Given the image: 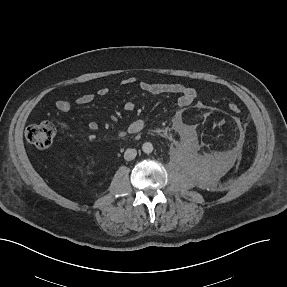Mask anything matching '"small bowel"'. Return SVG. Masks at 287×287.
Instances as JSON below:
<instances>
[{"label":"small bowel","mask_w":287,"mask_h":287,"mask_svg":"<svg viewBox=\"0 0 287 287\" xmlns=\"http://www.w3.org/2000/svg\"><path fill=\"white\" fill-rule=\"evenodd\" d=\"M136 82L134 77H128L122 81L124 85H131ZM139 87L146 92L162 95V94H174L177 95V104L180 107H186L192 104L196 97L197 92L194 88L188 87L182 83L178 82H171V83H164V82H149V81H140ZM108 93V89L106 87H102L98 90V95L104 96ZM95 94L86 93L79 96L75 103L77 104H89L95 100ZM73 102L70 100H59L56 102V108L60 112H68L72 108ZM125 110L132 111L134 109V104L130 101L126 102L124 105ZM145 120L144 119H136L127 125L124 128H121L118 131V135L124 137L129 134H136L144 130L145 128ZM88 128L91 131H95L98 129V124L94 121L88 124Z\"/></svg>","instance_id":"obj_1"}]
</instances>
